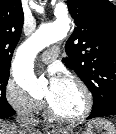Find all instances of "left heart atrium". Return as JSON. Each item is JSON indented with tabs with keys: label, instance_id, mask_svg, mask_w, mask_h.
I'll list each match as a JSON object with an SVG mask.
<instances>
[{
	"label": "left heart atrium",
	"instance_id": "1",
	"mask_svg": "<svg viewBox=\"0 0 116 134\" xmlns=\"http://www.w3.org/2000/svg\"><path fill=\"white\" fill-rule=\"evenodd\" d=\"M49 86H48V101L53 99L60 91L63 79L57 74L55 69L48 71Z\"/></svg>",
	"mask_w": 116,
	"mask_h": 134
}]
</instances>
